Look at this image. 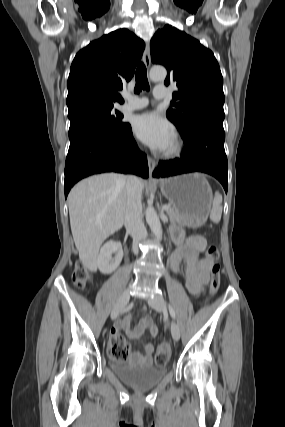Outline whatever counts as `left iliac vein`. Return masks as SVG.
I'll use <instances>...</instances> for the list:
<instances>
[{"label":"left iliac vein","mask_w":285,"mask_h":427,"mask_svg":"<svg viewBox=\"0 0 285 427\" xmlns=\"http://www.w3.org/2000/svg\"><path fill=\"white\" fill-rule=\"evenodd\" d=\"M149 305L157 311H164L166 309V303L161 295H156L148 300ZM171 334L175 341L180 338V329L175 321L171 322Z\"/></svg>","instance_id":"left-iliac-vein-1"}]
</instances>
